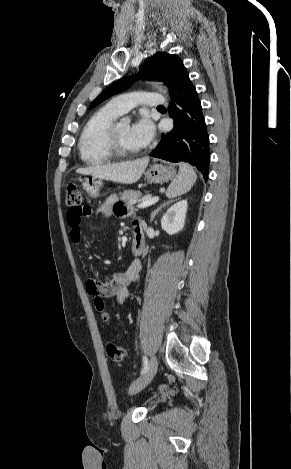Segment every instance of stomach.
<instances>
[{"instance_id":"0dacf381","label":"stomach","mask_w":291,"mask_h":469,"mask_svg":"<svg viewBox=\"0 0 291 469\" xmlns=\"http://www.w3.org/2000/svg\"><path fill=\"white\" fill-rule=\"evenodd\" d=\"M145 176L150 183L162 184L173 179L176 176V170L171 166L155 164L145 172ZM82 185L90 197L99 198L102 195V178L87 177L83 180Z\"/></svg>"}]
</instances>
